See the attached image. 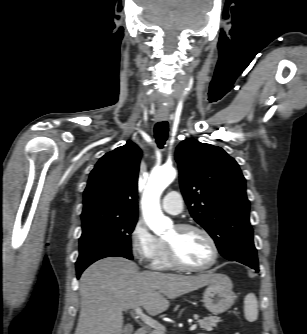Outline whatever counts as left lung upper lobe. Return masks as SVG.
Returning <instances> with one entry per match:
<instances>
[{
    "label": "left lung upper lobe",
    "instance_id": "5c2ea615",
    "mask_svg": "<svg viewBox=\"0 0 307 334\" xmlns=\"http://www.w3.org/2000/svg\"><path fill=\"white\" fill-rule=\"evenodd\" d=\"M180 185L190 214L214 239L226 259L253 248L245 178L222 148L196 140L182 141L175 154Z\"/></svg>",
    "mask_w": 307,
    "mask_h": 334
}]
</instances>
